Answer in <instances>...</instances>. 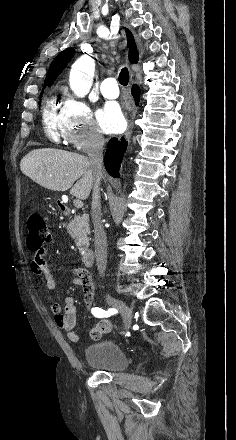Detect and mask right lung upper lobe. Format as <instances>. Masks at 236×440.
Instances as JSON below:
<instances>
[{"label":"right lung upper lobe","instance_id":"obj_1","mask_svg":"<svg viewBox=\"0 0 236 440\" xmlns=\"http://www.w3.org/2000/svg\"><path fill=\"white\" fill-rule=\"evenodd\" d=\"M126 35H127V44L129 46V61L131 63H137L139 54L133 34L131 33L130 30L126 29ZM74 53L75 50L73 48H67L56 56V58L53 60L48 70L45 79L46 86L53 84V81H55L56 77L60 75L62 70L66 67L70 59L73 57Z\"/></svg>","mask_w":236,"mask_h":440}]
</instances>
